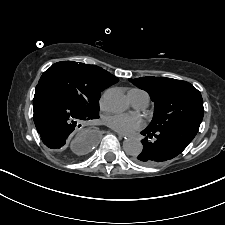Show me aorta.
Returning a JSON list of instances; mask_svg holds the SVG:
<instances>
[{
  "mask_svg": "<svg viewBox=\"0 0 225 225\" xmlns=\"http://www.w3.org/2000/svg\"><path fill=\"white\" fill-rule=\"evenodd\" d=\"M105 106L114 113H120L128 108V100L120 88H110L103 96ZM123 149L128 155H138L142 151V144L137 138H127L123 141Z\"/></svg>",
  "mask_w": 225,
  "mask_h": 225,
  "instance_id": "762f6f07",
  "label": "aorta"
}]
</instances>
